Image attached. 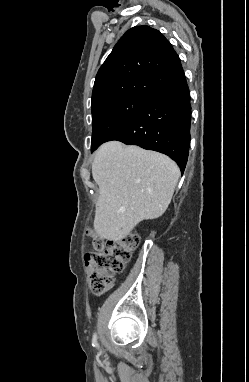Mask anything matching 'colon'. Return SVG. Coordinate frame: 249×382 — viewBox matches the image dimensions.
Instances as JSON below:
<instances>
[{"label":"colon","instance_id":"obj_1","mask_svg":"<svg viewBox=\"0 0 249 382\" xmlns=\"http://www.w3.org/2000/svg\"><path fill=\"white\" fill-rule=\"evenodd\" d=\"M139 241L135 233L116 242H105L92 236L93 250L85 254L84 261L90 272L89 286L95 295H101L113 286V276L123 272Z\"/></svg>","mask_w":249,"mask_h":382}]
</instances>
